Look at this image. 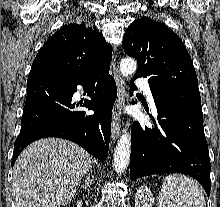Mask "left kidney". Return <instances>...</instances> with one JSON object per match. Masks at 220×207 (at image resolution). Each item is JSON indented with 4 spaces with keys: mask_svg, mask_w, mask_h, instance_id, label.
Segmentation results:
<instances>
[{
    "mask_svg": "<svg viewBox=\"0 0 220 207\" xmlns=\"http://www.w3.org/2000/svg\"><path fill=\"white\" fill-rule=\"evenodd\" d=\"M154 204L153 194L146 186L138 188L135 194V207H152Z\"/></svg>",
    "mask_w": 220,
    "mask_h": 207,
    "instance_id": "5707ae66",
    "label": "left kidney"
}]
</instances>
